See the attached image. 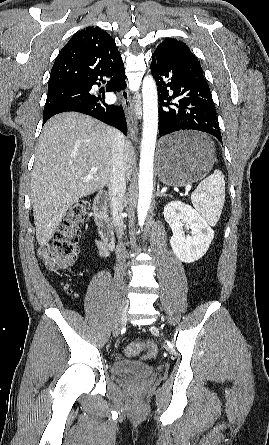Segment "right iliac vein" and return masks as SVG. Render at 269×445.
Returning <instances> with one entry per match:
<instances>
[{
    "instance_id": "1",
    "label": "right iliac vein",
    "mask_w": 269,
    "mask_h": 445,
    "mask_svg": "<svg viewBox=\"0 0 269 445\" xmlns=\"http://www.w3.org/2000/svg\"><path fill=\"white\" fill-rule=\"evenodd\" d=\"M127 308H128V301L125 298H123L120 303L119 312L114 324V330H113L114 336H117L119 334L121 328L126 323Z\"/></svg>"
}]
</instances>
